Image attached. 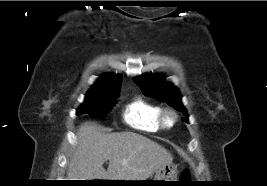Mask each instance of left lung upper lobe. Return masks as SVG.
<instances>
[{
	"mask_svg": "<svg viewBox=\"0 0 267 186\" xmlns=\"http://www.w3.org/2000/svg\"><path fill=\"white\" fill-rule=\"evenodd\" d=\"M135 83L140 87L143 94L155 98L156 100L166 102L178 111L187 112L181 103V95L178 89L171 83L165 81L163 75H145L134 78ZM188 123V118L184 119Z\"/></svg>",
	"mask_w": 267,
	"mask_h": 186,
	"instance_id": "5c2ea615",
	"label": "left lung upper lobe"
}]
</instances>
